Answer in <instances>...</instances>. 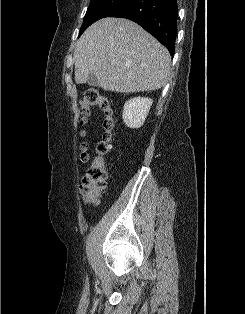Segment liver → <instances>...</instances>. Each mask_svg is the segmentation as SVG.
I'll list each match as a JSON object with an SVG mask.
<instances>
[{
	"mask_svg": "<svg viewBox=\"0 0 245 314\" xmlns=\"http://www.w3.org/2000/svg\"><path fill=\"white\" fill-rule=\"evenodd\" d=\"M74 62L77 84L88 83L89 74H93L98 81L94 86L133 93L164 87L169 79L171 56L135 22L104 18L79 38Z\"/></svg>",
	"mask_w": 245,
	"mask_h": 314,
	"instance_id": "1",
	"label": "liver"
}]
</instances>
